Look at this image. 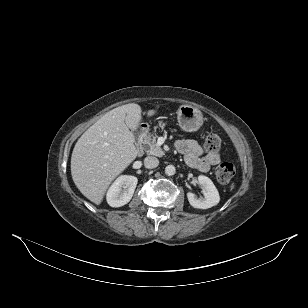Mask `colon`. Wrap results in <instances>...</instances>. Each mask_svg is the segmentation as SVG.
<instances>
[{"mask_svg":"<svg viewBox=\"0 0 308 308\" xmlns=\"http://www.w3.org/2000/svg\"><path fill=\"white\" fill-rule=\"evenodd\" d=\"M222 144L220 135L213 131L205 139L204 147L209 152L219 151ZM235 174V168L233 164L229 162H223L216 168V177L221 183H228Z\"/></svg>","mask_w":308,"mask_h":308,"instance_id":"1","label":"colon"}]
</instances>
